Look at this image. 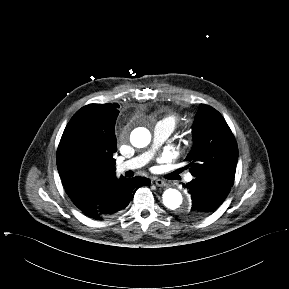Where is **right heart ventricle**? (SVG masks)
I'll list each match as a JSON object with an SVG mask.
<instances>
[{
    "mask_svg": "<svg viewBox=\"0 0 289 289\" xmlns=\"http://www.w3.org/2000/svg\"><path fill=\"white\" fill-rule=\"evenodd\" d=\"M163 120L167 121L174 128L176 124L178 123L179 118L177 115L170 114V115H167Z\"/></svg>",
    "mask_w": 289,
    "mask_h": 289,
    "instance_id": "e07e8e85",
    "label": "right heart ventricle"
}]
</instances>
